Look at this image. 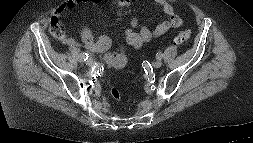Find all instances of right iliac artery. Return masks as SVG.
I'll return each instance as SVG.
<instances>
[{
	"label": "right iliac artery",
	"instance_id": "1",
	"mask_svg": "<svg viewBox=\"0 0 253 143\" xmlns=\"http://www.w3.org/2000/svg\"><path fill=\"white\" fill-rule=\"evenodd\" d=\"M90 57L89 53L83 52L79 56L80 61H86Z\"/></svg>",
	"mask_w": 253,
	"mask_h": 143
}]
</instances>
